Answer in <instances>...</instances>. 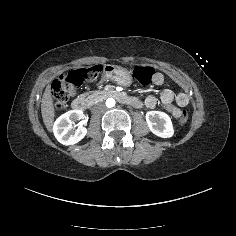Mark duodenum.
<instances>
[{"mask_svg": "<svg viewBox=\"0 0 236 236\" xmlns=\"http://www.w3.org/2000/svg\"><path fill=\"white\" fill-rule=\"evenodd\" d=\"M106 95L108 97L116 98L118 101L130 105L132 107H139L141 105V102L138 98L133 96H128L121 92L109 90L107 91ZM86 106H87L86 101L83 98H76L71 103V107L75 111H84L86 109Z\"/></svg>", "mask_w": 236, "mask_h": 236, "instance_id": "410a0bca", "label": "duodenum"}]
</instances>
